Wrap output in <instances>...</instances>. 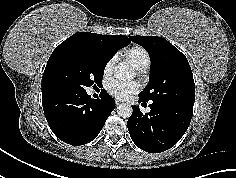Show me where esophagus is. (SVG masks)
Instances as JSON below:
<instances>
[{"label": "esophagus", "instance_id": "obj_1", "mask_svg": "<svg viewBox=\"0 0 236 178\" xmlns=\"http://www.w3.org/2000/svg\"><path fill=\"white\" fill-rule=\"evenodd\" d=\"M115 103H116V106H119V105H121V104H122V102H121V101H119V100H116V101H115Z\"/></svg>", "mask_w": 236, "mask_h": 178}]
</instances>
